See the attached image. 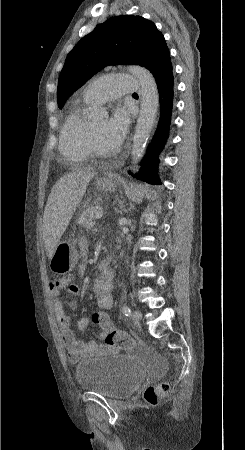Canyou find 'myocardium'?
Returning a JSON list of instances; mask_svg holds the SVG:
<instances>
[{"mask_svg": "<svg viewBox=\"0 0 245 450\" xmlns=\"http://www.w3.org/2000/svg\"><path fill=\"white\" fill-rule=\"evenodd\" d=\"M87 134H88V141H89V146H90L92 154H94L96 156H100V157H105V156L114 155L116 153V151H108L100 146V144L98 143V141L96 140V137L94 135L92 122H90V124L88 126Z\"/></svg>", "mask_w": 245, "mask_h": 450, "instance_id": "obj_1", "label": "myocardium"}]
</instances>
